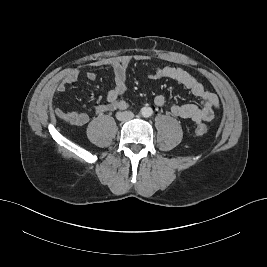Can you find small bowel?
<instances>
[{
  "instance_id": "obj_1",
  "label": "small bowel",
  "mask_w": 267,
  "mask_h": 267,
  "mask_svg": "<svg viewBox=\"0 0 267 267\" xmlns=\"http://www.w3.org/2000/svg\"><path fill=\"white\" fill-rule=\"evenodd\" d=\"M149 57L145 55H120L106 59L93 61L90 65L95 68L108 67L112 70L114 78V87L110 88L106 94L107 102L94 106L96 114H103L115 110H124L128 108V103L122 99L126 89V72L128 66L134 61H146ZM80 73L77 69H71L66 72L60 82L56 85L55 91L64 93L68 85L79 79ZM150 79H171L187 88L194 96L200 99V104H177L168 103L163 95H157L154 98V104L158 108H167L168 111L176 117L190 119L195 124L210 122L214 117V112L220 107L218 96L207 91L204 86L189 72L181 67L160 66L156 67L150 74ZM90 81L96 79L93 72L87 74ZM56 114L59 118L64 119L73 125L83 126L88 123L89 115L85 112L71 111L67 112L62 108H56Z\"/></svg>"
}]
</instances>
